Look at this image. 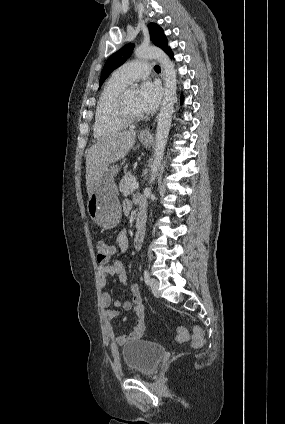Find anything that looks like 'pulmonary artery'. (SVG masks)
Masks as SVG:
<instances>
[{"label": "pulmonary artery", "instance_id": "obj_1", "mask_svg": "<svg viewBox=\"0 0 285 424\" xmlns=\"http://www.w3.org/2000/svg\"><path fill=\"white\" fill-rule=\"evenodd\" d=\"M150 69L151 68L147 62L143 60H134L119 67L113 75L118 80L128 84L134 80L147 77Z\"/></svg>", "mask_w": 285, "mask_h": 424}]
</instances>
